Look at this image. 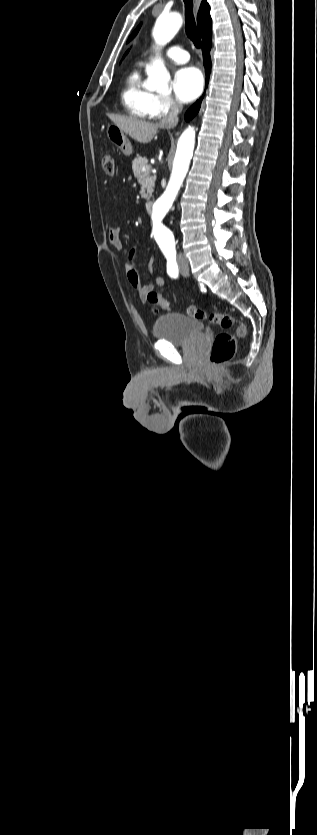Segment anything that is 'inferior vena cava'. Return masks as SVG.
Here are the masks:
<instances>
[{
  "label": "inferior vena cava",
  "mask_w": 317,
  "mask_h": 835,
  "mask_svg": "<svg viewBox=\"0 0 317 835\" xmlns=\"http://www.w3.org/2000/svg\"><path fill=\"white\" fill-rule=\"evenodd\" d=\"M182 108L183 107H182L181 103L173 101L171 103V106H170L169 114L164 116L161 119V121L159 122V125L162 128H167V129L175 127L178 124V120H179L178 114L182 111Z\"/></svg>",
  "instance_id": "602c4592"
}]
</instances>
